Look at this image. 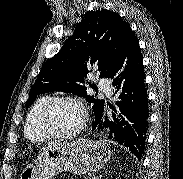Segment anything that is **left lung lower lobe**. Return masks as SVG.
I'll return each instance as SVG.
<instances>
[{"mask_svg": "<svg viewBox=\"0 0 183 179\" xmlns=\"http://www.w3.org/2000/svg\"><path fill=\"white\" fill-rule=\"evenodd\" d=\"M119 94L116 102L118 113L112 117H95L92 130L99 135L126 146L139 160L145 149L149 108L145 87L144 67L138 40L132 30L126 33L110 77Z\"/></svg>", "mask_w": 183, "mask_h": 179, "instance_id": "left-lung-lower-lobe-1", "label": "left lung lower lobe"}]
</instances>
